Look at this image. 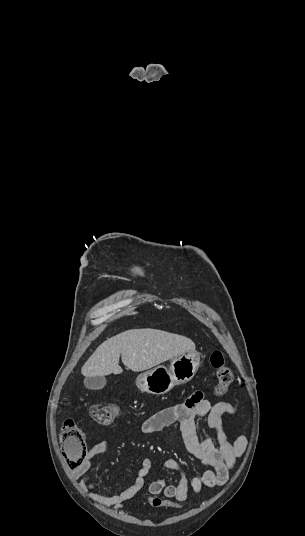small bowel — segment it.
Instances as JSON below:
<instances>
[{"instance_id":"small-bowel-1","label":"small bowel","mask_w":305,"mask_h":536,"mask_svg":"<svg viewBox=\"0 0 305 536\" xmlns=\"http://www.w3.org/2000/svg\"><path fill=\"white\" fill-rule=\"evenodd\" d=\"M234 408L230 403L219 402L211 404L204 398L202 391H196L183 403L166 407L147 418L142 424V432L146 435L156 433L163 428L178 423L181 426L182 437L187 450L204 466L207 467L200 475L194 476L190 481L186 477L182 464L176 459H166L162 466L166 470L176 471L180 478L176 485L166 484L158 479L149 485V494L180 495L181 500H187L189 487L199 493L203 487H217L223 485L229 476L235 459L242 455L246 448V438L238 436L234 442H230L223 426V416L233 413ZM205 419L210 429L215 434V439H201L198 435L200 420ZM107 442H99L92 445L85 453L81 464L75 468L74 476L80 478L81 487L89 494L90 498L103 506H110L116 510L123 503L131 499L142 489L145 483L152 461L143 458L136 470L132 484L125 490L110 495L97 493V484L88 475L94 458L108 451Z\"/></svg>"}]
</instances>
